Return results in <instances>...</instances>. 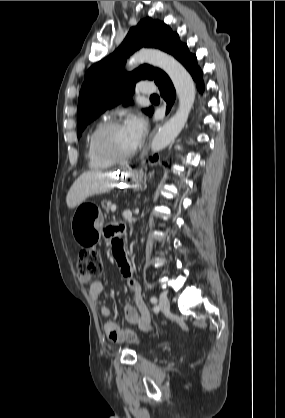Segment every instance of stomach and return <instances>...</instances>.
Listing matches in <instances>:
<instances>
[{
    "label": "stomach",
    "instance_id": "stomach-1",
    "mask_svg": "<svg viewBox=\"0 0 285 418\" xmlns=\"http://www.w3.org/2000/svg\"><path fill=\"white\" fill-rule=\"evenodd\" d=\"M141 172L135 170H126L121 174L122 181L128 187L134 188L138 182ZM152 173H150V176ZM79 205L71 218V230L74 239L81 245L88 240V238H96L100 234V226L90 219L88 213Z\"/></svg>",
    "mask_w": 285,
    "mask_h": 418
}]
</instances>
